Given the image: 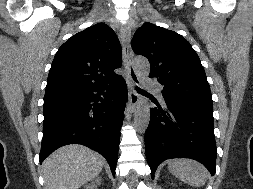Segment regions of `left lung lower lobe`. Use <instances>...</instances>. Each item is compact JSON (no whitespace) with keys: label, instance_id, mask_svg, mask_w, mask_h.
I'll list each match as a JSON object with an SVG mask.
<instances>
[{"label":"left lung lower lobe","instance_id":"obj_1","mask_svg":"<svg viewBox=\"0 0 253 189\" xmlns=\"http://www.w3.org/2000/svg\"><path fill=\"white\" fill-rule=\"evenodd\" d=\"M163 95L164 108L150 109L145 133L146 157L152 178L158 165L170 158H191L214 175L216 143L213 108L171 95Z\"/></svg>","mask_w":253,"mask_h":189}]
</instances>
